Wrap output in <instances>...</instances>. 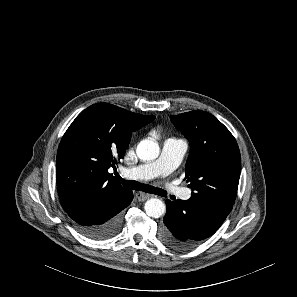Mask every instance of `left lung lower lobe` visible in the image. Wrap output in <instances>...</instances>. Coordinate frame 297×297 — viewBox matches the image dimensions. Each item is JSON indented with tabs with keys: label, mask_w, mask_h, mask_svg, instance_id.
I'll return each mask as SVG.
<instances>
[{
	"label": "left lung lower lobe",
	"mask_w": 297,
	"mask_h": 297,
	"mask_svg": "<svg viewBox=\"0 0 297 297\" xmlns=\"http://www.w3.org/2000/svg\"><path fill=\"white\" fill-rule=\"evenodd\" d=\"M166 207L161 239L177 250L194 248L213 235L232 210V206L192 199L166 200Z\"/></svg>",
	"instance_id": "obj_1"
}]
</instances>
